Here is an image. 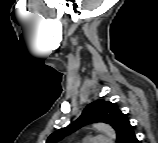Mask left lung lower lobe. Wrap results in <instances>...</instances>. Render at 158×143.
Wrapping results in <instances>:
<instances>
[{"instance_id":"0a47b994","label":"left lung lower lobe","mask_w":158,"mask_h":143,"mask_svg":"<svg viewBox=\"0 0 158 143\" xmlns=\"http://www.w3.org/2000/svg\"><path fill=\"white\" fill-rule=\"evenodd\" d=\"M137 142H138V140H137L135 134L126 141V143H137Z\"/></svg>"}]
</instances>
